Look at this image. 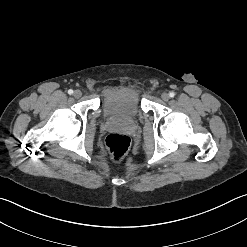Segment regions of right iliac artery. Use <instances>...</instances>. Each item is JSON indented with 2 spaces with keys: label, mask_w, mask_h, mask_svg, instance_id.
<instances>
[{
  "label": "right iliac artery",
  "mask_w": 247,
  "mask_h": 247,
  "mask_svg": "<svg viewBox=\"0 0 247 247\" xmlns=\"http://www.w3.org/2000/svg\"><path fill=\"white\" fill-rule=\"evenodd\" d=\"M68 94H70V95L73 94V90L72 89H69L68 90Z\"/></svg>",
  "instance_id": "82829eb1"
}]
</instances>
